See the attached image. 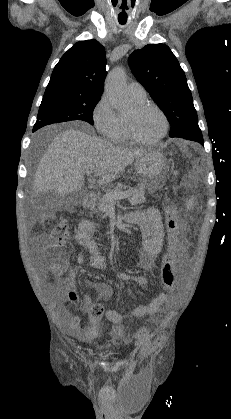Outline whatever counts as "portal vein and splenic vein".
Wrapping results in <instances>:
<instances>
[{
  "instance_id": "obj_1",
  "label": "portal vein and splenic vein",
  "mask_w": 231,
  "mask_h": 419,
  "mask_svg": "<svg viewBox=\"0 0 231 419\" xmlns=\"http://www.w3.org/2000/svg\"><path fill=\"white\" fill-rule=\"evenodd\" d=\"M85 172L87 174H91L93 171L91 169H87ZM130 195H131L130 191H124V192H119V193L111 194L110 197L114 201H116V200L128 198Z\"/></svg>"
}]
</instances>
